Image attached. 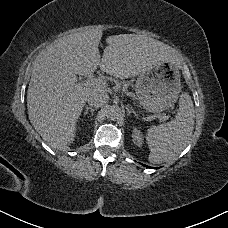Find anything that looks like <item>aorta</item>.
<instances>
[{
    "instance_id": "762f6f07",
    "label": "aorta",
    "mask_w": 228,
    "mask_h": 228,
    "mask_svg": "<svg viewBox=\"0 0 228 228\" xmlns=\"http://www.w3.org/2000/svg\"><path fill=\"white\" fill-rule=\"evenodd\" d=\"M120 108L118 106L112 105L107 110V118L113 120L119 114Z\"/></svg>"
}]
</instances>
